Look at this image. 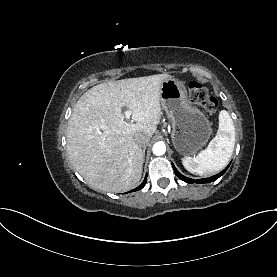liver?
<instances>
[{
	"instance_id": "liver-1",
	"label": "liver",
	"mask_w": 277,
	"mask_h": 277,
	"mask_svg": "<svg viewBox=\"0 0 277 277\" xmlns=\"http://www.w3.org/2000/svg\"><path fill=\"white\" fill-rule=\"evenodd\" d=\"M172 76L158 74L98 84L85 92L68 122L67 153L93 188L119 193L141 179L143 151L135 141L155 133L161 119L160 88ZM123 108L132 122L124 120Z\"/></svg>"
}]
</instances>
